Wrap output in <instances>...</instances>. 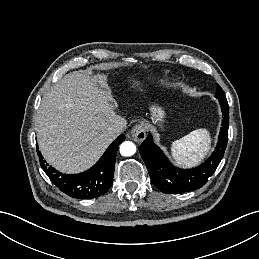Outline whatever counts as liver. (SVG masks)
I'll return each instance as SVG.
<instances>
[{"label":"liver","mask_w":259,"mask_h":259,"mask_svg":"<svg viewBox=\"0 0 259 259\" xmlns=\"http://www.w3.org/2000/svg\"><path fill=\"white\" fill-rule=\"evenodd\" d=\"M117 107L105 78L86 71L65 75L44 95L35 116L45 160L63 173L89 169L117 136L109 127L116 121L127 125Z\"/></svg>","instance_id":"1"}]
</instances>
